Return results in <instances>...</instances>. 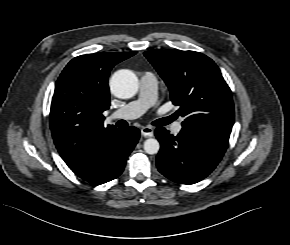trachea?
Returning <instances> with one entry per match:
<instances>
[{
    "mask_svg": "<svg viewBox=\"0 0 290 245\" xmlns=\"http://www.w3.org/2000/svg\"><path fill=\"white\" fill-rule=\"evenodd\" d=\"M172 120H173L172 117H166V118L158 119V120L154 121L152 124L154 126H164V125L169 124ZM118 126L119 127L126 126V122L121 120V121L118 122Z\"/></svg>",
    "mask_w": 290,
    "mask_h": 245,
    "instance_id": "1",
    "label": "trachea"
}]
</instances>
